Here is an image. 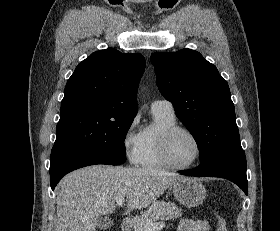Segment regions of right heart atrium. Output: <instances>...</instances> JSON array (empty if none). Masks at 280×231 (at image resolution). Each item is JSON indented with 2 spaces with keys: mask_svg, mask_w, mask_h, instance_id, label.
<instances>
[{
  "mask_svg": "<svg viewBox=\"0 0 280 231\" xmlns=\"http://www.w3.org/2000/svg\"><path fill=\"white\" fill-rule=\"evenodd\" d=\"M138 121L132 119L122 134V146L126 158L132 164H139L143 150V134L137 130Z\"/></svg>",
  "mask_w": 280,
  "mask_h": 231,
  "instance_id": "right-heart-atrium-1",
  "label": "right heart atrium"
}]
</instances>
